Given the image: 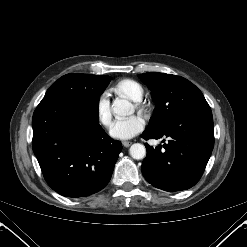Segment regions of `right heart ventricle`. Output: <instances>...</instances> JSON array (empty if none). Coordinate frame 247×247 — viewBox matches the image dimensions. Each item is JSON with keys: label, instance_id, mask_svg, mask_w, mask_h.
Listing matches in <instances>:
<instances>
[{"label": "right heart ventricle", "instance_id": "obj_1", "mask_svg": "<svg viewBox=\"0 0 247 247\" xmlns=\"http://www.w3.org/2000/svg\"><path fill=\"white\" fill-rule=\"evenodd\" d=\"M114 91L133 101H140L144 90L140 83L132 79H122L114 85Z\"/></svg>", "mask_w": 247, "mask_h": 247}]
</instances>
